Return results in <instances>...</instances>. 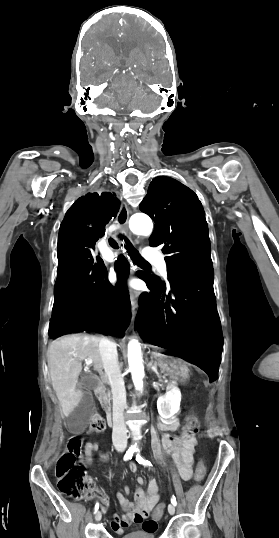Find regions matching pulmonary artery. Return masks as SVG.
<instances>
[{
  "instance_id": "pulmonary-artery-1",
  "label": "pulmonary artery",
  "mask_w": 279,
  "mask_h": 538,
  "mask_svg": "<svg viewBox=\"0 0 279 538\" xmlns=\"http://www.w3.org/2000/svg\"><path fill=\"white\" fill-rule=\"evenodd\" d=\"M112 259H113V258L110 257V258H108V261H111Z\"/></svg>"
}]
</instances>
